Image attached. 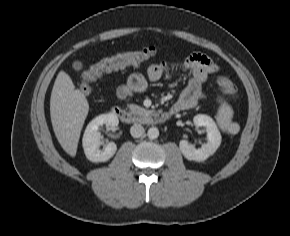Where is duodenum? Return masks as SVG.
<instances>
[{
    "label": "duodenum",
    "mask_w": 290,
    "mask_h": 236,
    "mask_svg": "<svg viewBox=\"0 0 290 236\" xmlns=\"http://www.w3.org/2000/svg\"><path fill=\"white\" fill-rule=\"evenodd\" d=\"M112 113L125 124H162L171 116L170 112L147 111L136 113L119 107H114Z\"/></svg>",
    "instance_id": "obj_1"
}]
</instances>
